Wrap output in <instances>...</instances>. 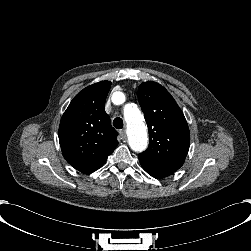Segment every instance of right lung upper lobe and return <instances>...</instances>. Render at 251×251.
<instances>
[{
    "mask_svg": "<svg viewBox=\"0 0 251 251\" xmlns=\"http://www.w3.org/2000/svg\"><path fill=\"white\" fill-rule=\"evenodd\" d=\"M110 87L111 82L101 81L84 88L71 101L60 122L62 154L84 174L99 169L118 145V133L104 108Z\"/></svg>",
    "mask_w": 251,
    "mask_h": 251,
    "instance_id": "right-lung-upper-lobe-1",
    "label": "right lung upper lobe"
}]
</instances>
